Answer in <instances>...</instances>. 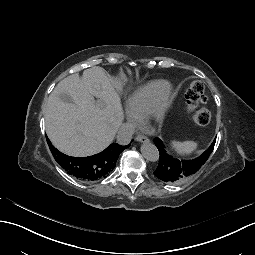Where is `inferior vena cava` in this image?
Returning a JSON list of instances; mask_svg holds the SVG:
<instances>
[{"label":"inferior vena cava","mask_w":255,"mask_h":255,"mask_svg":"<svg viewBox=\"0 0 255 255\" xmlns=\"http://www.w3.org/2000/svg\"><path fill=\"white\" fill-rule=\"evenodd\" d=\"M134 133L135 127L132 124H123L118 131L116 141L121 145H126L130 142Z\"/></svg>","instance_id":"602c4592"}]
</instances>
